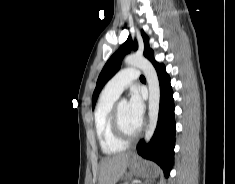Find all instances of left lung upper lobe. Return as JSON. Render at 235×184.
Returning a JSON list of instances; mask_svg holds the SVG:
<instances>
[{
    "instance_id": "5c2ea615",
    "label": "left lung upper lobe",
    "mask_w": 235,
    "mask_h": 184,
    "mask_svg": "<svg viewBox=\"0 0 235 184\" xmlns=\"http://www.w3.org/2000/svg\"><path fill=\"white\" fill-rule=\"evenodd\" d=\"M142 37L144 41V56L149 60L153 57V50L149 47V38L142 31ZM138 48L137 41H132L131 36L127 39V41L109 58L103 67L98 80L97 85L93 93L92 97V106L94 107L98 98V95L103 88V86L107 83L109 79H111L115 73L120 69L122 60L124 56L131 51V49L136 50Z\"/></svg>"
}]
</instances>
